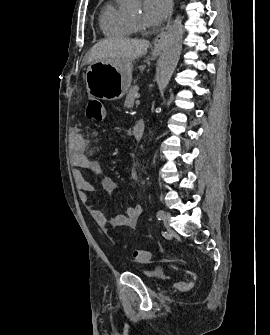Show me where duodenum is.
I'll return each mask as SVG.
<instances>
[{"mask_svg":"<svg viewBox=\"0 0 270 335\" xmlns=\"http://www.w3.org/2000/svg\"><path fill=\"white\" fill-rule=\"evenodd\" d=\"M145 131V123L144 121L140 120L136 122L133 128V135L136 139H141L143 137Z\"/></svg>","mask_w":270,"mask_h":335,"instance_id":"obj_1","label":"duodenum"}]
</instances>
